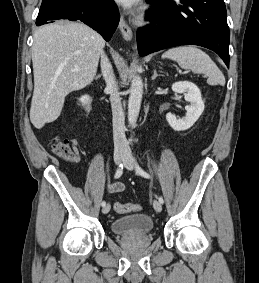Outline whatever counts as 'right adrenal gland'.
<instances>
[{"mask_svg":"<svg viewBox=\"0 0 259 283\" xmlns=\"http://www.w3.org/2000/svg\"><path fill=\"white\" fill-rule=\"evenodd\" d=\"M99 78H101V75H97V76H96V79H99Z\"/></svg>","mask_w":259,"mask_h":283,"instance_id":"1","label":"right adrenal gland"}]
</instances>
